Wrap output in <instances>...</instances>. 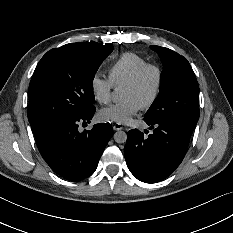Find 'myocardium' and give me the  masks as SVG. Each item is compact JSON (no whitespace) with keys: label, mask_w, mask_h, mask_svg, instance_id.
<instances>
[{"label":"myocardium","mask_w":233,"mask_h":233,"mask_svg":"<svg viewBox=\"0 0 233 233\" xmlns=\"http://www.w3.org/2000/svg\"><path fill=\"white\" fill-rule=\"evenodd\" d=\"M154 70L157 76L156 86L151 98L143 104V108H149L158 100L163 86L164 73L160 65L156 63H146L141 66L124 84L123 87H135L137 86L144 74L149 71Z\"/></svg>","instance_id":"myocardium-1"}]
</instances>
